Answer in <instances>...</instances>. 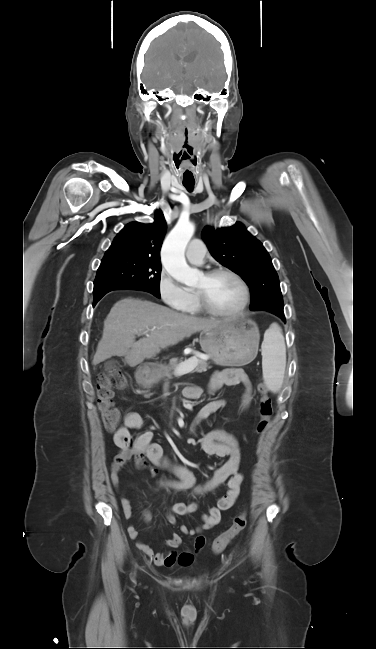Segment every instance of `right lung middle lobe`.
<instances>
[{
	"label": "right lung middle lobe",
	"mask_w": 376,
	"mask_h": 649,
	"mask_svg": "<svg viewBox=\"0 0 376 649\" xmlns=\"http://www.w3.org/2000/svg\"><path fill=\"white\" fill-rule=\"evenodd\" d=\"M159 258L137 254L105 255L94 281V300L104 292L136 289L160 298Z\"/></svg>",
	"instance_id": "1"
}]
</instances>
